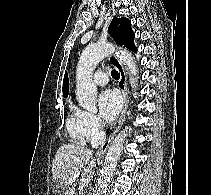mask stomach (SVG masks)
<instances>
[{"mask_svg":"<svg viewBox=\"0 0 211 195\" xmlns=\"http://www.w3.org/2000/svg\"><path fill=\"white\" fill-rule=\"evenodd\" d=\"M53 186L56 187V189L58 190L61 186H62V183L60 181H57V185L56 183L54 182Z\"/></svg>","mask_w":211,"mask_h":195,"instance_id":"0dacf381","label":"stomach"}]
</instances>
